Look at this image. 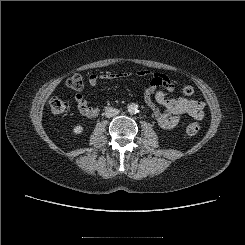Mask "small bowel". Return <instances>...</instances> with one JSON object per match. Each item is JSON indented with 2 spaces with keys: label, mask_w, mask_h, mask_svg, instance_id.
<instances>
[{
  "label": "small bowel",
  "mask_w": 245,
  "mask_h": 245,
  "mask_svg": "<svg viewBox=\"0 0 245 245\" xmlns=\"http://www.w3.org/2000/svg\"><path fill=\"white\" fill-rule=\"evenodd\" d=\"M126 75L91 74L89 75L88 82L93 87L100 79L118 78ZM136 75L149 79L144 90V99L162 129L170 130L177 127L181 123L183 115H188L195 120L203 118L205 104L202 101L184 97H167V93L174 91V84L166 75L152 73L148 70L138 71ZM75 101L79 112L83 116L95 118L98 115V108L90 106L82 94H76Z\"/></svg>",
  "instance_id": "c3829d8e"
}]
</instances>
